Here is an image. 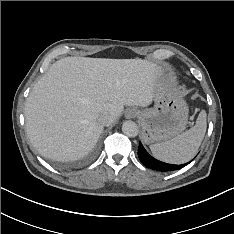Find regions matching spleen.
Here are the masks:
<instances>
[{
    "label": "spleen",
    "instance_id": "obj_1",
    "mask_svg": "<svg viewBox=\"0 0 234 234\" xmlns=\"http://www.w3.org/2000/svg\"><path fill=\"white\" fill-rule=\"evenodd\" d=\"M206 132V112L201 111L195 126L175 138L150 145L152 154L171 164H182L192 159L198 151Z\"/></svg>",
    "mask_w": 234,
    "mask_h": 234
}]
</instances>
